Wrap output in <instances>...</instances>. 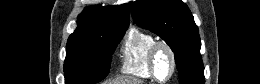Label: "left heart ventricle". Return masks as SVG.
<instances>
[{
	"instance_id": "1",
	"label": "left heart ventricle",
	"mask_w": 260,
	"mask_h": 84,
	"mask_svg": "<svg viewBox=\"0 0 260 84\" xmlns=\"http://www.w3.org/2000/svg\"><path fill=\"white\" fill-rule=\"evenodd\" d=\"M171 61L168 53L164 50L159 52L156 58V72L160 79H164L170 72Z\"/></svg>"
}]
</instances>
